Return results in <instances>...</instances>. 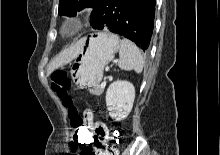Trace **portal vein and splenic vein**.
Returning a JSON list of instances; mask_svg holds the SVG:
<instances>
[{
    "label": "portal vein and splenic vein",
    "instance_id": "portal-vein-and-splenic-vein-1",
    "mask_svg": "<svg viewBox=\"0 0 220 155\" xmlns=\"http://www.w3.org/2000/svg\"><path fill=\"white\" fill-rule=\"evenodd\" d=\"M108 69H109V68L106 67V70H108ZM105 86H106V80L101 83V86H100V87L103 89V88H105Z\"/></svg>",
    "mask_w": 220,
    "mask_h": 155
}]
</instances>
